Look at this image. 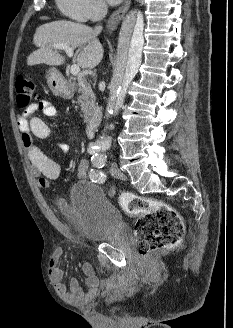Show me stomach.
Masks as SVG:
<instances>
[{
  "label": "stomach",
  "instance_id": "1",
  "mask_svg": "<svg viewBox=\"0 0 233 328\" xmlns=\"http://www.w3.org/2000/svg\"><path fill=\"white\" fill-rule=\"evenodd\" d=\"M48 85L51 91L61 97L64 98H71L72 97V90L65 84L62 77L60 76L59 72L52 68L47 71L46 74Z\"/></svg>",
  "mask_w": 233,
  "mask_h": 328
}]
</instances>
